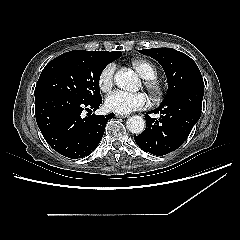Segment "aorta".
Returning <instances> with one entry per match:
<instances>
[{
    "label": "aorta",
    "instance_id": "aorta-1",
    "mask_svg": "<svg viewBox=\"0 0 240 240\" xmlns=\"http://www.w3.org/2000/svg\"><path fill=\"white\" fill-rule=\"evenodd\" d=\"M117 87L127 91L137 89L138 78L135 73L127 70H120L114 76ZM127 129L134 134H141L145 130V121L141 116H132L126 122Z\"/></svg>",
    "mask_w": 240,
    "mask_h": 240
}]
</instances>
